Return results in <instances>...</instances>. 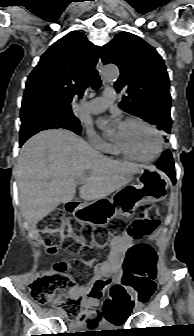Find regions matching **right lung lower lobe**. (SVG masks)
Segmentation results:
<instances>
[{
  "instance_id": "1",
  "label": "right lung lower lobe",
  "mask_w": 194,
  "mask_h": 336,
  "mask_svg": "<svg viewBox=\"0 0 194 336\" xmlns=\"http://www.w3.org/2000/svg\"><path fill=\"white\" fill-rule=\"evenodd\" d=\"M26 140L24 141H20V147L23 145V143L25 142Z\"/></svg>"
}]
</instances>
